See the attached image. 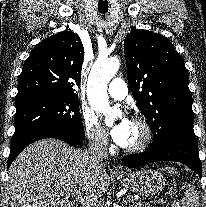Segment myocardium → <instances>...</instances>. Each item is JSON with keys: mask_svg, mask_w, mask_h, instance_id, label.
I'll use <instances>...</instances> for the list:
<instances>
[{"mask_svg": "<svg viewBox=\"0 0 206 207\" xmlns=\"http://www.w3.org/2000/svg\"><path fill=\"white\" fill-rule=\"evenodd\" d=\"M133 122L138 124L143 132L142 139L131 147H124L123 150L126 153H139L146 150L153 140V129L150 123L141 116H136Z\"/></svg>", "mask_w": 206, "mask_h": 207, "instance_id": "obj_1", "label": "myocardium"}]
</instances>
